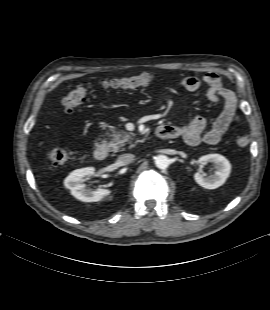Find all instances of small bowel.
<instances>
[{
  "label": "small bowel",
  "instance_id": "1",
  "mask_svg": "<svg viewBox=\"0 0 270 310\" xmlns=\"http://www.w3.org/2000/svg\"><path fill=\"white\" fill-rule=\"evenodd\" d=\"M207 86V97L213 103L222 102L223 109L211 127L206 128V120L202 116L194 117L185 125H162L173 138H182L186 144L196 146L201 142L215 145L220 142L229 127L238 121L236 97L234 92L225 87L216 72H207L202 78L187 76L181 80V86L190 92L198 90L201 85Z\"/></svg>",
  "mask_w": 270,
  "mask_h": 310
}]
</instances>
